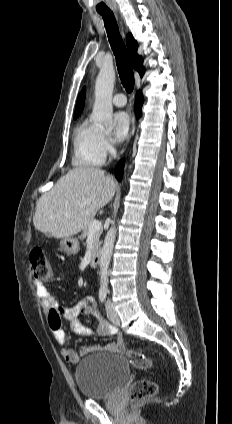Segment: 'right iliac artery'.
Here are the masks:
<instances>
[{"instance_id": "82829eb1", "label": "right iliac artery", "mask_w": 232, "mask_h": 424, "mask_svg": "<svg viewBox=\"0 0 232 424\" xmlns=\"http://www.w3.org/2000/svg\"><path fill=\"white\" fill-rule=\"evenodd\" d=\"M99 299L103 303L105 301V299H106V293H100L99 294Z\"/></svg>"}]
</instances>
